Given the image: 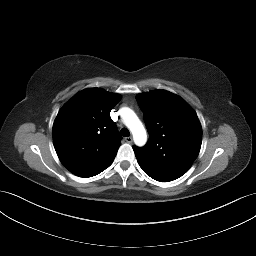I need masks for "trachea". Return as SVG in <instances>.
<instances>
[{"label":"trachea","mask_w":256,"mask_h":256,"mask_svg":"<svg viewBox=\"0 0 256 256\" xmlns=\"http://www.w3.org/2000/svg\"><path fill=\"white\" fill-rule=\"evenodd\" d=\"M120 134H121L122 136H124V137H129V136H130V132H129V130H128L127 128H122V129L120 130Z\"/></svg>","instance_id":"1"}]
</instances>
